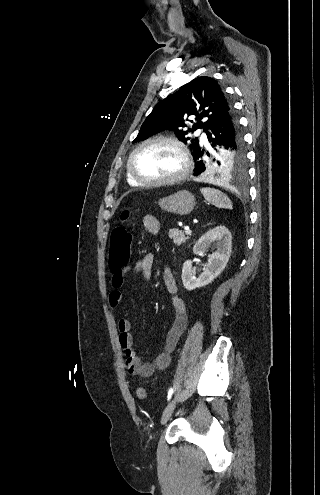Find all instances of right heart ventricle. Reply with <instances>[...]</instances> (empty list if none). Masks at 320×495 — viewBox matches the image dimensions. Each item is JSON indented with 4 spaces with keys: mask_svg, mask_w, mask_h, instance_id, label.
<instances>
[{
    "mask_svg": "<svg viewBox=\"0 0 320 495\" xmlns=\"http://www.w3.org/2000/svg\"><path fill=\"white\" fill-rule=\"evenodd\" d=\"M126 178H127V182L131 185V186H139L138 183H136L132 178L131 176L129 175V173L127 172L126 173Z\"/></svg>",
    "mask_w": 320,
    "mask_h": 495,
    "instance_id": "e07e8e85",
    "label": "right heart ventricle"
}]
</instances>
